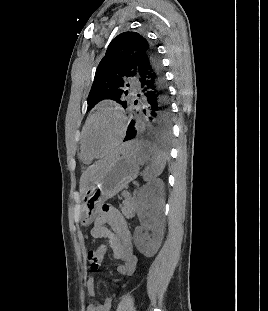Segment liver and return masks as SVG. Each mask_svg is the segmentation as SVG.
I'll return each instance as SVG.
<instances>
[{
	"label": "liver",
	"mask_w": 268,
	"mask_h": 311,
	"mask_svg": "<svg viewBox=\"0 0 268 311\" xmlns=\"http://www.w3.org/2000/svg\"><path fill=\"white\" fill-rule=\"evenodd\" d=\"M125 148V146L123 147ZM115 159L114 156L100 160L94 165L90 166L82 175L81 184L85 186L88 182L94 181Z\"/></svg>",
	"instance_id": "obj_1"
}]
</instances>
